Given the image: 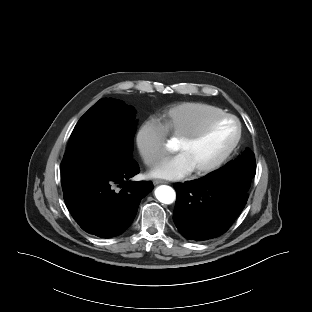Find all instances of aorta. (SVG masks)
Returning a JSON list of instances; mask_svg holds the SVG:
<instances>
[{
    "label": "aorta",
    "instance_id": "1",
    "mask_svg": "<svg viewBox=\"0 0 312 312\" xmlns=\"http://www.w3.org/2000/svg\"><path fill=\"white\" fill-rule=\"evenodd\" d=\"M155 196L161 203L171 204L176 199V193L174 189L167 185H161L156 188Z\"/></svg>",
    "mask_w": 312,
    "mask_h": 312
}]
</instances>
